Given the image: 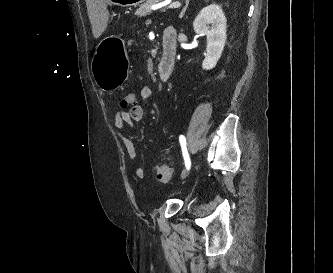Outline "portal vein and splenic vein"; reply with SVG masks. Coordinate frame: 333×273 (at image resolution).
I'll return each instance as SVG.
<instances>
[{
    "mask_svg": "<svg viewBox=\"0 0 333 273\" xmlns=\"http://www.w3.org/2000/svg\"><path fill=\"white\" fill-rule=\"evenodd\" d=\"M164 6H165V4H159V5L153 6L152 9L156 10V9H160V8H162ZM180 6H181L180 3L175 2V3L170 4L167 8H178ZM163 10H165V9H163Z\"/></svg>",
    "mask_w": 333,
    "mask_h": 273,
    "instance_id": "portal-vein-and-splenic-vein-1",
    "label": "portal vein and splenic vein"
}]
</instances>
